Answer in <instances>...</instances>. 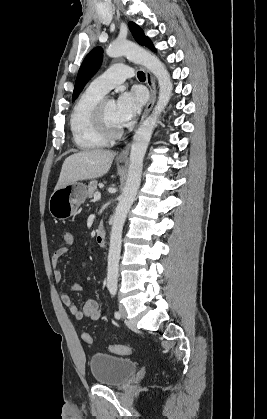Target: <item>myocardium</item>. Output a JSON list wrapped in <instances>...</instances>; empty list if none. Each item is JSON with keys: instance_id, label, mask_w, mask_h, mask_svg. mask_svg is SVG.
<instances>
[{"instance_id": "obj_1", "label": "myocardium", "mask_w": 267, "mask_h": 419, "mask_svg": "<svg viewBox=\"0 0 267 419\" xmlns=\"http://www.w3.org/2000/svg\"><path fill=\"white\" fill-rule=\"evenodd\" d=\"M107 101V99H102L98 103L94 112V123L101 137H103L106 141H112L120 138L123 135L124 128L114 130L109 127L105 115V104Z\"/></svg>"}]
</instances>
